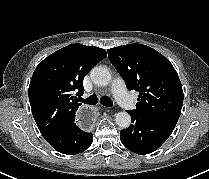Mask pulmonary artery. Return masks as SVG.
I'll list each match as a JSON object with an SVG mask.
<instances>
[{
    "mask_svg": "<svg viewBox=\"0 0 209 179\" xmlns=\"http://www.w3.org/2000/svg\"><path fill=\"white\" fill-rule=\"evenodd\" d=\"M111 92L120 106L127 110L135 108V102L127 93L125 84L121 78H116L111 84Z\"/></svg>",
    "mask_w": 209,
    "mask_h": 179,
    "instance_id": "e3ab8cb5",
    "label": "pulmonary artery"
}]
</instances>
